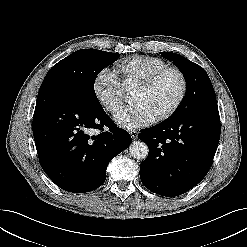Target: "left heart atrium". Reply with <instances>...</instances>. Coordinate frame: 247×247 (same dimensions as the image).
I'll use <instances>...</instances> for the list:
<instances>
[{
	"label": "left heart atrium",
	"mask_w": 247,
	"mask_h": 247,
	"mask_svg": "<svg viewBox=\"0 0 247 247\" xmlns=\"http://www.w3.org/2000/svg\"><path fill=\"white\" fill-rule=\"evenodd\" d=\"M156 118L155 113L143 102L120 108L114 113L115 122L126 129L148 125Z\"/></svg>",
	"instance_id": "1"
}]
</instances>
